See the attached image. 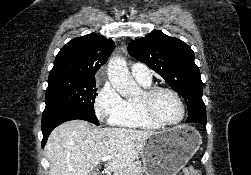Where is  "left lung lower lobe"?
Masks as SVG:
<instances>
[{
	"label": "left lung lower lobe",
	"mask_w": 251,
	"mask_h": 175,
	"mask_svg": "<svg viewBox=\"0 0 251 175\" xmlns=\"http://www.w3.org/2000/svg\"><path fill=\"white\" fill-rule=\"evenodd\" d=\"M206 110L205 105L189 104L187 123H200L206 125Z\"/></svg>",
	"instance_id": "left-lung-lower-lobe-1"
}]
</instances>
